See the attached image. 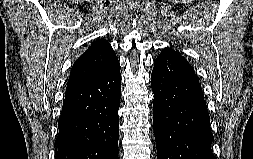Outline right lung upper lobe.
<instances>
[{
    "label": "right lung upper lobe",
    "instance_id": "cb5924a9",
    "mask_svg": "<svg viewBox=\"0 0 253 159\" xmlns=\"http://www.w3.org/2000/svg\"><path fill=\"white\" fill-rule=\"evenodd\" d=\"M119 63L114 50L105 39H98L75 61L67 90L97 77Z\"/></svg>",
    "mask_w": 253,
    "mask_h": 159
}]
</instances>
